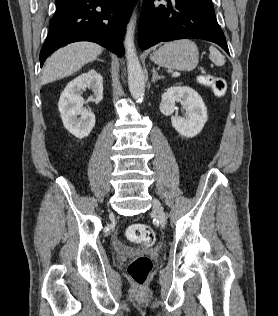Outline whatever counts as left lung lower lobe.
Instances as JSON below:
<instances>
[{
	"mask_svg": "<svg viewBox=\"0 0 278 316\" xmlns=\"http://www.w3.org/2000/svg\"><path fill=\"white\" fill-rule=\"evenodd\" d=\"M167 2L154 6V0H144L139 24L141 49L162 41L192 38L214 42L229 54L215 11L194 0Z\"/></svg>",
	"mask_w": 278,
	"mask_h": 316,
	"instance_id": "left-lung-lower-lobe-1",
	"label": "left lung lower lobe"
}]
</instances>
